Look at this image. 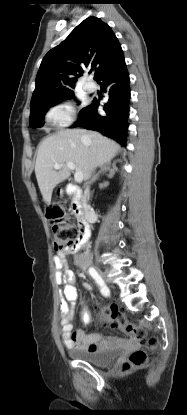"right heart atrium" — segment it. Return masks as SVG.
Returning <instances> with one entry per match:
<instances>
[{
	"instance_id": "d8ad5b80",
	"label": "right heart atrium",
	"mask_w": 187,
	"mask_h": 415,
	"mask_svg": "<svg viewBox=\"0 0 187 415\" xmlns=\"http://www.w3.org/2000/svg\"><path fill=\"white\" fill-rule=\"evenodd\" d=\"M75 119V110L68 102H61L50 107L44 114V121L53 129L69 127Z\"/></svg>"
}]
</instances>
